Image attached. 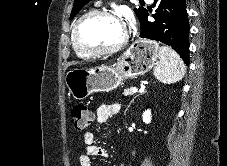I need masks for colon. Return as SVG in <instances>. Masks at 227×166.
Returning <instances> with one entry per match:
<instances>
[{
	"instance_id": "1",
	"label": "colon",
	"mask_w": 227,
	"mask_h": 166,
	"mask_svg": "<svg viewBox=\"0 0 227 166\" xmlns=\"http://www.w3.org/2000/svg\"><path fill=\"white\" fill-rule=\"evenodd\" d=\"M71 117L73 127L77 131L84 130L90 124L93 118L88 106L83 102H79L73 106Z\"/></svg>"
}]
</instances>
